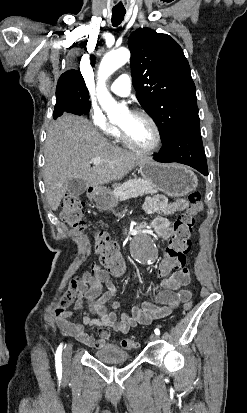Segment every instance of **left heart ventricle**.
I'll return each mask as SVG.
<instances>
[{"instance_id": "left-heart-ventricle-1", "label": "left heart ventricle", "mask_w": 247, "mask_h": 413, "mask_svg": "<svg viewBox=\"0 0 247 413\" xmlns=\"http://www.w3.org/2000/svg\"><path fill=\"white\" fill-rule=\"evenodd\" d=\"M125 123L132 126V128H124V130L136 142L145 146L152 145L155 142V129L151 127L146 119L141 117L132 119L131 117L127 116L125 118Z\"/></svg>"}]
</instances>
